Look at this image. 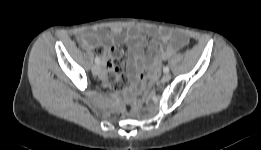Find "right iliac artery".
Here are the masks:
<instances>
[{
    "instance_id": "1",
    "label": "right iliac artery",
    "mask_w": 261,
    "mask_h": 150,
    "mask_svg": "<svg viewBox=\"0 0 261 150\" xmlns=\"http://www.w3.org/2000/svg\"><path fill=\"white\" fill-rule=\"evenodd\" d=\"M95 62H96V64H99V63H100L99 57H96V58H95Z\"/></svg>"
}]
</instances>
